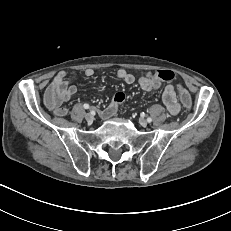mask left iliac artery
I'll return each mask as SVG.
<instances>
[{
    "mask_svg": "<svg viewBox=\"0 0 231 231\" xmlns=\"http://www.w3.org/2000/svg\"><path fill=\"white\" fill-rule=\"evenodd\" d=\"M147 121H148L149 123H151V122H152V118L148 117V118H147Z\"/></svg>",
    "mask_w": 231,
    "mask_h": 231,
    "instance_id": "left-iliac-artery-1",
    "label": "left iliac artery"
}]
</instances>
